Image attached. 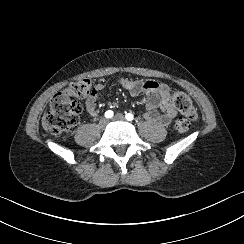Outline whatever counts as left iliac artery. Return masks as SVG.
Instances as JSON below:
<instances>
[{
	"mask_svg": "<svg viewBox=\"0 0 244 244\" xmlns=\"http://www.w3.org/2000/svg\"><path fill=\"white\" fill-rule=\"evenodd\" d=\"M125 118H126L128 121H132V120L134 119V116H133V114L128 113V114H126Z\"/></svg>",
	"mask_w": 244,
	"mask_h": 244,
	"instance_id": "left-iliac-artery-1",
	"label": "left iliac artery"
}]
</instances>
